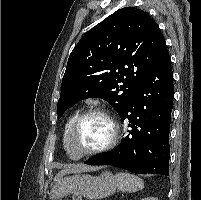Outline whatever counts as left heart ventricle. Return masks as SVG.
Instances as JSON below:
<instances>
[{
    "instance_id": "left-heart-ventricle-1",
    "label": "left heart ventricle",
    "mask_w": 201,
    "mask_h": 200,
    "mask_svg": "<svg viewBox=\"0 0 201 200\" xmlns=\"http://www.w3.org/2000/svg\"><path fill=\"white\" fill-rule=\"evenodd\" d=\"M110 134V125L104 118L90 116L76 127L72 136V146L76 153L86 152L104 145Z\"/></svg>"
}]
</instances>
